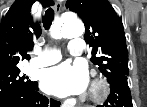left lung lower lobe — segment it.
<instances>
[{"instance_id":"obj_1","label":"left lung lower lobe","mask_w":147,"mask_h":107,"mask_svg":"<svg viewBox=\"0 0 147 107\" xmlns=\"http://www.w3.org/2000/svg\"><path fill=\"white\" fill-rule=\"evenodd\" d=\"M108 82L110 84V95L104 105L97 107H133L127 76L122 75Z\"/></svg>"}]
</instances>
